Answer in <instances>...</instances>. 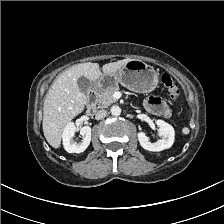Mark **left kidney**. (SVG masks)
Here are the masks:
<instances>
[{"label": "left kidney", "instance_id": "5707ae66", "mask_svg": "<svg viewBox=\"0 0 224 224\" xmlns=\"http://www.w3.org/2000/svg\"><path fill=\"white\" fill-rule=\"evenodd\" d=\"M156 124L159 127V135L162 136V139L151 143L145 132L138 133L139 143L145 150L159 152L164 149L170 148L174 143V128L163 120H157Z\"/></svg>", "mask_w": 224, "mask_h": 224}]
</instances>
